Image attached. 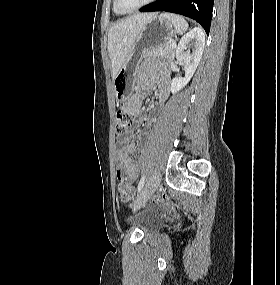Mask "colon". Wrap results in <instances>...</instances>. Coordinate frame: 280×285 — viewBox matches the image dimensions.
<instances>
[{"instance_id": "5ec220e1", "label": "colon", "mask_w": 280, "mask_h": 285, "mask_svg": "<svg viewBox=\"0 0 280 285\" xmlns=\"http://www.w3.org/2000/svg\"><path fill=\"white\" fill-rule=\"evenodd\" d=\"M133 122L134 117L130 112L122 108L116 110L115 131L118 135L124 133L133 124ZM118 192L123 201H129L133 198V186L127 180L120 181Z\"/></svg>"}]
</instances>
